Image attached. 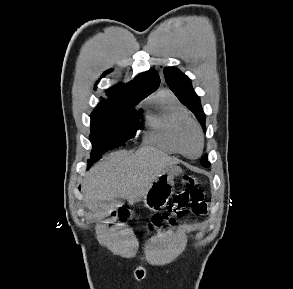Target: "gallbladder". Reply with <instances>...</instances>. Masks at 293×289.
<instances>
[{
  "mask_svg": "<svg viewBox=\"0 0 293 289\" xmlns=\"http://www.w3.org/2000/svg\"><path fill=\"white\" fill-rule=\"evenodd\" d=\"M98 211H100V212H103V210H102V209H98Z\"/></svg>",
  "mask_w": 293,
  "mask_h": 289,
  "instance_id": "1",
  "label": "gallbladder"
}]
</instances>
